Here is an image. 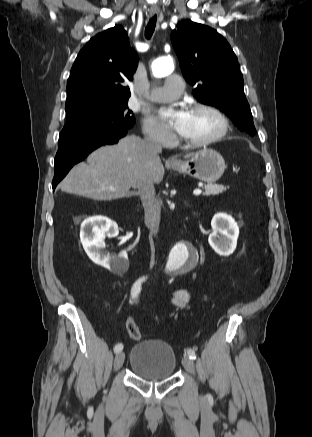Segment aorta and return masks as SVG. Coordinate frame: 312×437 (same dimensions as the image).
<instances>
[{
    "instance_id": "1",
    "label": "aorta",
    "mask_w": 312,
    "mask_h": 437,
    "mask_svg": "<svg viewBox=\"0 0 312 437\" xmlns=\"http://www.w3.org/2000/svg\"><path fill=\"white\" fill-rule=\"evenodd\" d=\"M174 70V63L171 57H161L153 61L152 73L155 77L161 78L171 74ZM197 260V254L186 244L178 243L172 249L166 270H188Z\"/></svg>"
}]
</instances>
